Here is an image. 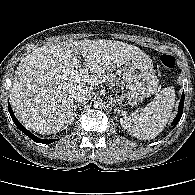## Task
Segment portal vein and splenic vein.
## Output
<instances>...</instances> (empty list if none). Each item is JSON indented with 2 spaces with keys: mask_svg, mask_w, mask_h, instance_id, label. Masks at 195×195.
Listing matches in <instances>:
<instances>
[{
  "mask_svg": "<svg viewBox=\"0 0 195 195\" xmlns=\"http://www.w3.org/2000/svg\"><path fill=\"white\" fill-rule=\"evenodd\" d=\"M64 75L85 81L90 85H97L98 83L105 81V77H94L93 75H89L86 70H64Z\"/></svg>",
  "mask_w": 195,
  "mask_h": 195,
  "instance_id": "1",
  "label": "portal vein and splenic vein"
}]
</instances>
